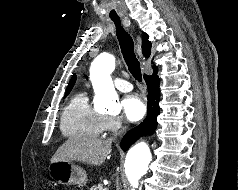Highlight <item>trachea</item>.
Instances as JSON below:
<instances>
[{"label": "trachea", "mask_w": 238, "mask_h": 190, "mask_svg": "<svg viewBox=\"0 0 238 190\" xmlns=\"http://www.w3.org/2000/svg\"><path fill=\"white\" fill-rule=\"evenodd\" d=\"M112 20L116 25L117 37L119 40L124 60L128 65V69L135 79L141 81L142 80L141 68L134 52L133 39L124 30L119 18H112Z\"/></svg>", "instance_id": "3493384b"}]
</instances>
